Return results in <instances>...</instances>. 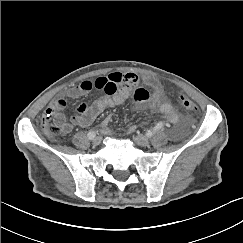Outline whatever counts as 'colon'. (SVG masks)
I'll list each match as a JSON object with an SVG mask.
<instances>
[{
  "mask_svg": "<svg viewBox=\"0 0 243 243\" xmlns=\"http://www.w3.org/2000/svg\"><path fill=\"white\" fill-rule=\"evenodd\" d=\"M180 103L182 107L189 112L195 113L198 110L195 103L185 96L180 97ZM56 115V113L49 112L45 113L41 118V126L48 134L52 136H58L60 134L65 133V120H57Z\"/></svg>",
  "mask_w": 243,
  "mask_h": 243,
  "instance_id": "obj_1",
  "label": "colon"
}]
</instances>
